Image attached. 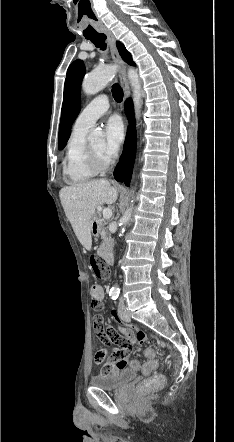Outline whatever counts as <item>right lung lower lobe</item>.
Returning <instances> with one entry per match:
<instances>
[{
	"label": "right lung lower lobe",
	"instance_id": "right-lung-lower-lobe-1",
	"mask_svg": "<svg viewBox=\"0 0 234 442\" xmlns=\"http://www.w3.org/2000/svg\"><path fill=\"white\" fill-rule=\"evenodd\" d=\"M125 109L130 126L120 162L118 163L114 171V177L117 181L124 182L126 186H129L136 152L135 118L133 112V104L131 100H127L125 102Z\"/></svg>",
	"mask_w": 234,
	"mask_h": 442
}]
</instances>
